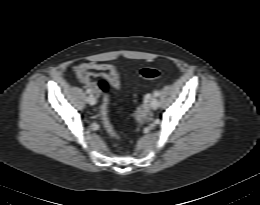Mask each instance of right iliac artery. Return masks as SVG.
<instances>
[{"mask_svg":"<svg viewBox=\"0 0 260 205\" xmlns=\"http://www.w3.org/2000/svg\"><path fill=\"white\" fill-rule=\"evenodd\" d=\"M87 93H91V90L87 89Z\"/></svg>","mask_w":260,"mask_h":205,"instance_id":"1","label":"right iliac artery"}]
</instances>
